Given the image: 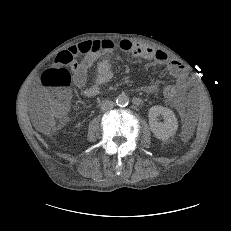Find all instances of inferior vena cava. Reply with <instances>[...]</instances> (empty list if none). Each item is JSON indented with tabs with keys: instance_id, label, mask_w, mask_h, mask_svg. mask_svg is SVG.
<instances>
[{
	"instance_id": "inferior-vena-cava-1",
	"label": "inferior vena cava",
	"mask_w": 231,
	"mask_h": 231,
	"mask_svg": "<svg viewBox=\"0 0 231 231\" xmlns=\"http://www.w3.org/2000/svg\"><path fill=\"white\" fill-rule=\"evenodd\" d=\"M114 107V102L113 101H110V100H105L102 102L101 104V109L103 111H107V110H110Z\"/></svg>"
}]
</instances>
